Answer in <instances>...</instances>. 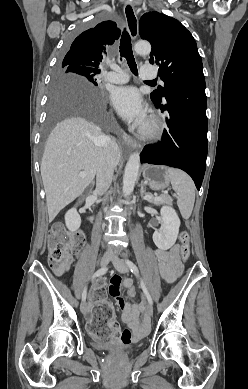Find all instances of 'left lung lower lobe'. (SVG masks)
Instances as JSON below:
<instances>
[{"mask_svg": "<svg viewBox=\"0 0 248 389\" xmlns=\"http://www.w3.org/2000/svg\"><path fill=\"white\" fill-rule=\"evenodd\" d=\"M155 104L161 112H167L168 128L160 142L144 147L141 163L180 168L199 190L208 149L205 80L182 83L165 96L164 104Z\"/></svg>", "mask_w": 248, "mask_h": 389, "instance_id": "obj_1", "label": "left lung lower lobe"}]
</instances>
